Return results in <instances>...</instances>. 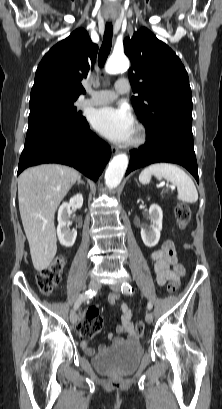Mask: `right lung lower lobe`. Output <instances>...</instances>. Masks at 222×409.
<instances>
[{
  "mask_svg": "<svg viewBox=\"0 0 222 409\" xmlns=\"http://www.w3.org/2000/svg\"><path fill=\"white\" fill-rule=\"evenodd\" d=\"M110 156V146L90 130L88 123L68 134L42 131L25 141L17 174L30 166L61 163L96 181Z\"/></svg>",
  "mask_w": 222,
  "mask_h": 409,
  "instance_id": "obj_1",
  "label": "right lung lower lobe"
}]
</instances>
